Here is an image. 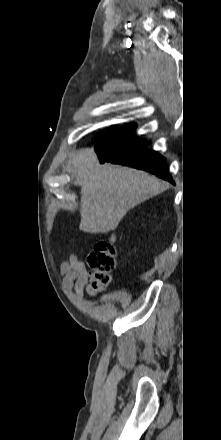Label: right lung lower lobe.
Instances as JSON below:
<instances>
[{"mask_svg":"<svg viewBox=\"0 0 221 440\" xmlns=\"http://www.w3.org/2000/svg\"><path fill=\"white\" fill-rule=\"evenodd\" d=\"M136 124H126L95 144L101 163L111 162L152 173L174 184L168 172L166 159L156 151L148 150L144 139L132 132Z\"/></svg>","mask_w":221,"mask_h":440,"instance_id":"1","label":"right lung lower lobe"}]
</instances>
